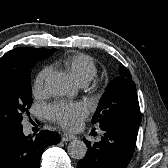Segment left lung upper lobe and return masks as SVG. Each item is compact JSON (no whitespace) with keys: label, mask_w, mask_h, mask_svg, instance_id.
Instances as JSON below:
<instances>
[{"label":"left lung upper lobe","mask_w":168,"mask_h":168,"mask_svg":"<svg viewBox=\"0 0 168 168\" xmlns=\"http://www.w3.org/2000/svg\"><path fill=\"white\" fill-rule=\"evenodd\" d=\"M110 121H123L138 128L141 122L136 85L128 69L119 66V76L109 82L92 123L100 126Z\"/></svg>","instance_id":"5c2ea615"}]
</instances>
